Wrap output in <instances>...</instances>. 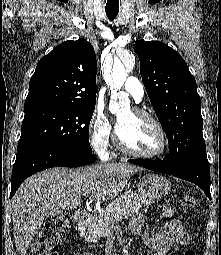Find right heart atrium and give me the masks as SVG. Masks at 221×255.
<instances>
[{
	"mask_svg": "<svg viewBox=\"0 0 221 255\" xmlns=\"http://www.w3.org/2000/svg\"><path fill=\"white\" fill-rule=\"evenodd\" d=\"M112 133V124L104 110L95 108L88 123V135L93 150L99 156L107 153Z\"/></svg>",
	"mask_w": 221,
	"mask_h": 255,
	"instance_id": "obj_1",
	"label": "right heart atrium"
}]
</instances>
